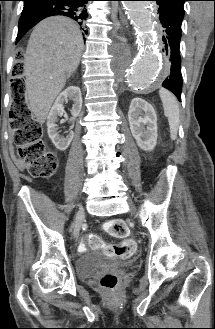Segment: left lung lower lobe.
Wrapping results in <instances>:
<instances>
[{
	"label": "left lung lower lobe",
	"mask_w": 215,
	"mask_h": 329,
	"mask_svg": "<svg viewBox=\"0 0 215 329\" xmlns=\"http://www.w3.org/2000/svg\"><path fill=\"white\" fill-rule=\"evenodd\" d=\"M158 5L159 18L163 27V52L167 57V77L162 86L173 92L181 102L182 74L180 58L181 25L184 15H181L173 7L154 0Z\"/></svg>",
	"instance_id": "obj_1"
}]
</instances>
